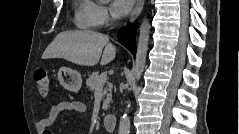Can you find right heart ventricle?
Masks as SVG:
<instances>
[{
  "instance_id": "right-heart-ventricle-1",
  "label": "right heart ventricle",
  "mask_w": 239,
  "mask_h": 134,
  "mask_svg": "<svg viewBox=\"0 0 239 134\" xmlns=\"http://www.w3.org/2000/svg\"><path fill=\"white\" fill-rule=\"evenodd\" d=\"M94 3L90 0H79L75 4L74 22L81 29H91L95 26L93 17Z\"/></svg>"
}]
</instances>
